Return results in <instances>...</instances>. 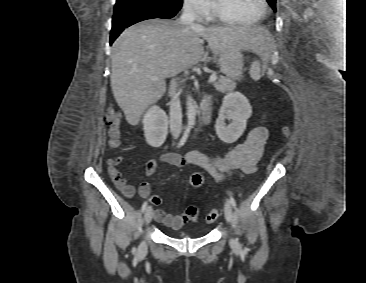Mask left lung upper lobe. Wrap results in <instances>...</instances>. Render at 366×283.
Masks as SVG:
<instances>
[{
    "label": "left lung upper lobe",
    "instance_id": "obj_1",
    "mask_svg": "<svg viewBox=\"0 0 366 283\" xmlns=\"http://www.w3.org/2000/svg\"><path fill=\"white\" fill-rule=\"evenodd\" d=\"M272 9L276 12V0H267Z\"/></svg>",
    "mask_w": 366,
    "mask_h": 283
}]
</instances>
